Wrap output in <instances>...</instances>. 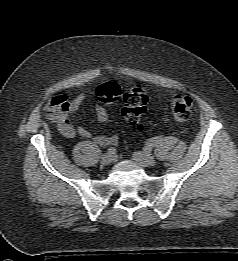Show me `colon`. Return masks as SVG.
Here are the masks:
<instances>
[{"mask_svg":"<svg viewBox=\"0 0 238 261\" xmlns=\"http://www.w3.org/2000/svg\"><path fill=\"white\" fill-rule=\"evenodd\" d=\"M96 95L102 105L121 100L123 102L122 114L125 120L138 131H142L143 126L140 120L146 111L149 100V94L145 88L134 86L123 93L118 84L109 82L99 86ZM169 105L173 115L178 120L184 121L189 118L192 112L193 102L188 95L176 94L171 97ZM67 109L68 100L65 95L52 97L46 105V110L52 120L62 115Z\"/></svg>","mask_w":238,"mask_h":261,"instance_id":"1","label":"colon"}]
</instances>
